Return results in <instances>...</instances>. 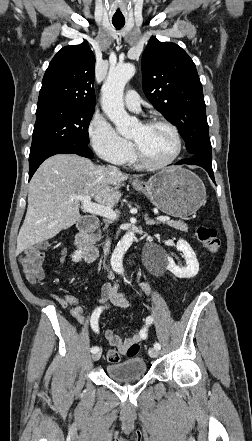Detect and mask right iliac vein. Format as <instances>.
<instances>
[{
  "mask_svg": "<svg viewBox=\"0 0 252 441\" xmlns=\"http://www.w3.org/2000/svg\"><path fill=\"white\" fill-rule=\"evenodd\" d=\"M100 357H101V351H98V352H96V353H94L93 355H92V360L95 362V361H98L99 359H100Z\"/></svg>",
  "mask_w": 252,
  "mask_h": 441,
  "instance_id": "obj_1",
  "label": "right iliac vein"
}]
</instances>
